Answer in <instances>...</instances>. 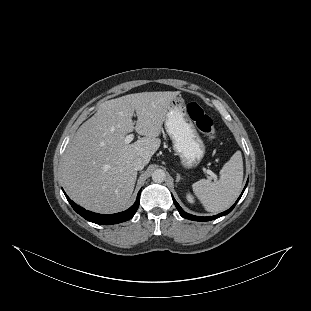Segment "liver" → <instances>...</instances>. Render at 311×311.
<instances>
[{"label": "liver", "instance_id": "1", "mask_svg": "<svg viewBox=\"0 0 311 311\" xmlns=\"http://www.w3.org/2000/svg\"><path fill=\"white\" fill-rule=\"evenodd\" d=\"M179 95L180 91L141 92L101 103L78 128L63 156L61 175L68 195L98 213L125 209L138 175L133 161L141 158L149 164L161 146L168 106ZM133 129L143 137L128 144L125 137Z\"/></svg>", "mask_w": 311, "mask_h": 311}]
</instances>
